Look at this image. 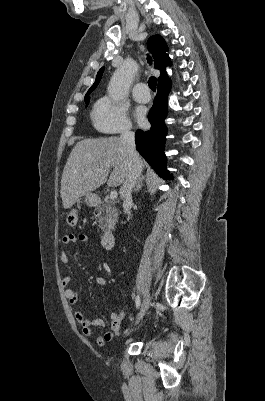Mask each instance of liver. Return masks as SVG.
Listing matches in <instances>:
<instances>
[{"mask_svg": "<svg viewBox=\"0 0 265 401\" xmlns=\"http://www.w3.org/2000/svg\"><path fill=\"white\" fill-rule=\"evenodd\" d=\"M140 166H145L140 158ZM113 168L108 180L107 176ZM129 154L125 142L118 136L83 138L72 148L61 180L63 209H71L80 196L107 182L109 186L125 184L130 174ZM123 196V186L120 188Z\"/></svg>", "mask_w": 265, "mask_h": 401, "instance_id": "1", "label": "liver"}]
</instances>
